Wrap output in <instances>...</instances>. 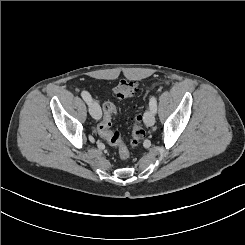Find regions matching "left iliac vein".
Masks as SVG:
<instances>
[{"label": "left iliac vein", "instance_id": "4c4485c4", "mask_svg": "<svg viewBox=\"0 0 245 245\" xmlns=\"http://www.w3.org/2000/svg\"><path fill=\"white\" fill-rule=\"evenodd\" d=\"M144 122L146 123L147 126H152L155 123V116L154 112L151 110H148L144 114Z\"/></svg>", "mask_w": 245, "mask_h": 245}]
</instances>
